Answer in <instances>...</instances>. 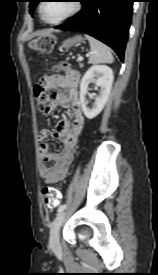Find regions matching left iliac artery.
<instances>
[{
  "label": "left iliac artery",
  "instance_id": "left-iliac-artery-1",
  "mask_svg": "<svg viewBox=\"0 0 158 275\" xmlns=\"http://www.w3.org/2000/svg\"><path fill=\"white\" fill-rule=\"evenodd\" d=\"M66 207H67L66 204H63V205L59 206L57 212L60 213V212L64 211L66 209Z\"/></svg>",
  "mask_w": 158,
  "mask_h": 275
}]
</instances>
